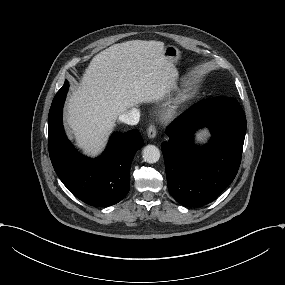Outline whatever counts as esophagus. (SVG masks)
I'll return each instance as SVG.
<instances>
[{
	"label": "esophagus",
	"mask_w": 285,
	"mask_h": 285,
	"mask_svg": "<svg viewBox=\"0 0 285 285\" xmlns=\"http://www.w3.org/2000/svg\"><path fill=\"white\" fill-rule=\"evenodd\" d=\"M147 135L149 138H154L156 136L155 124L151 123L147 129Z\"/></svg>",
	"instance_id": "obj_1"
}]
</instances>
